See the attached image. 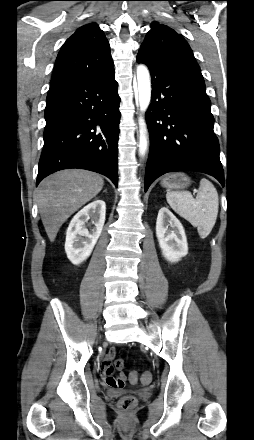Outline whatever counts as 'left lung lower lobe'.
Returning <instances> with one entry per match:
<instances>
[{
  "mask_svg": "<svg viewBox=\"0 0 254 440\" xmlns=\"http://www.w3.org/2000/svg\"><path fill=\"white\" fill-rule=\"evenodd\" d=\"M136 61L148 65L152 78L151 104L146 112L150 151L144 190L167 172L187 170L210 174L223 185L219 142L205 88L152 59L137 57Z\"/></svg>",
  "mask_w": 254,
  "mask_h": 440,
  "instance_id": "0a47b994",
  "label": "left lung lower lobe"
}]
</instances>
